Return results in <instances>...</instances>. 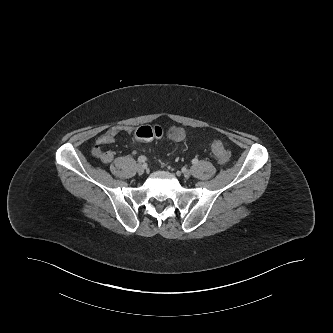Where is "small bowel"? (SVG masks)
<instances>
[{"label":"small bowel","mask_w":333,"mask_h":333,"mask_svg":"<svg viewBox=\"0 0 333 333\" xmlns=\"http://www.w3.org/2000/svg\"><path fill=\"white\" fill-rule=\"evenodd\" d=\"M133 132L134 128L131 126L111 127L97 138L91 150L92 156L103 163L112 162L115 157V153L110 149H104L103 146L113 142L115 138L121 133L132 134Z\"/></svg>","instance_id":"c3829d8e"}]
</instances>
